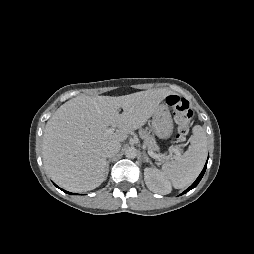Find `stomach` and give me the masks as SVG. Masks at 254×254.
<instances>
[{
  "label": "stomach",
  "instance_id": "obj_1",
  "mask_svg": "<svg viewBox=\"0 0 254 254\" xmlns=\"http://www.w3.org/2000/svg\"><path fill=\"white\" fill-rule=\"evenodd\" d=\"M152 129L161 139L169 138L173 132V120L168 107L160 105L152 116Z\"/></svg>",
  "mask_w": 254,
  "mask_h": 254
}]
</instances>
